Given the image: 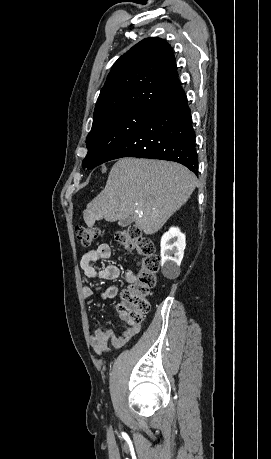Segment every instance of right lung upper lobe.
Masks as SVG:
<instances>
[{"label": "right lung upper lobe", "instance_id": "right-lung-upper-lobe-1", "mask_svg": "<svg viewBox=\"0 0 271 459\" xmlns=\"http://www.w3.org/2000/svg\"><path fill=\"white\" fill-rule=\"evenodd\" d=\"M183 92L171 46L146 38L113 65L98 97L94 119L135 107L158 111Z\"/></svg>", "mask_w": 271, "mask_h": 459}]
</instances>
